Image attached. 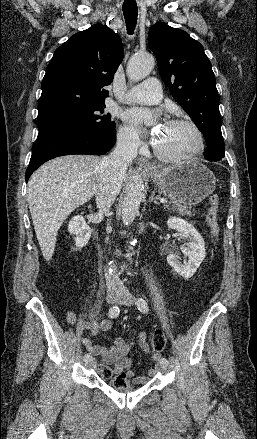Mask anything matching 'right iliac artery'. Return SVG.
Segmentation results:
<instances>
[{
    "label": "right iliac artery",
    "mask_w": 257,
    "mask_h": 439,
    "mask_svg": "<svg viewBox=\"0 0 257 439\" xmlns=\"http://www.w3.org/2000/svg\"><path fill=\"white\" fill-rule=\"evenodd\" d=\"M120 309L118 306H113L109 309L108 315L110 318H116L119 315ZM92 359V356L88 353L84 355V361Z\"/></svg>",
    "instance_id": "obj_1"
}]
</instances>
